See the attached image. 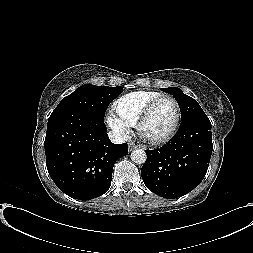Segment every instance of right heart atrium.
Here are the masks:
<instances>
[{
    "label": "right heart atrium",
    "mask_w": 253,
    "mask_h": 253,
    "mask_svg": "<svg viewBox=\"0 0 253 253\" xmlns=\"http://www.w3.org/2000/svg\"><path fill=\"white\" fill-rule=\"evenodd\" d=\"M106 121L115 134L121 138H127L130 135L129 126L120 119L113 111H108Z\"/></svg>",
    "instance_id": "obj_1"
}]
</instances>
